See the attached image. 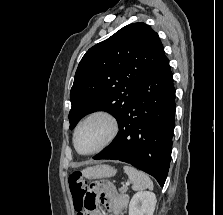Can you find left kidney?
I'll return each instance as SVG.
<instances>
[{"mask_svg": "<svg viewBox=\"0 0 223 215\" xmlns=\"http://www.w3.org/2000/svg\"><path fill=\"white\" fill-rule=\"evenodd\" d=\"M156 195L153 191H137L129 203V215H153Z\"/></svg>", "mask_w": 223, "mask_h": 215, "instance_id": "left-kidney-1", "label": "left kidney"}]
</instances>
